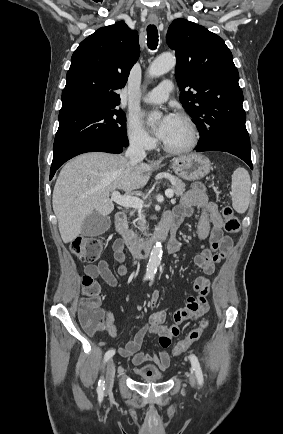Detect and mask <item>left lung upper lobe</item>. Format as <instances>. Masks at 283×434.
Instances as JSON below:
<instances>
[{
	"instance_id": "obj_1",
	"label": "left lung upper lobe",
	"mask_w": 283,
	"mask_h": 434,
	"mask_svg": "<svg viewBox=\"0 0 283 434\" xmlns=\"http://www.w3.org/2000/svg\"><path fill=\"white\" fill-rule=\"evenodd\" d=\"M166 41L176 51L180 102L199 130V147L251 155L239 74L224 40L179 18L171 23Z\"/></svg>"
}]
</instances>
